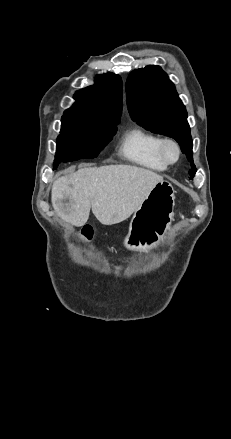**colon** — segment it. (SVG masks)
<instances>
[{
	"label": "colon",
	"instance_id": "obj_1",
	"mask_svg": "<svg viewBox=\"0 0 231 439\" xmlns=\"http://www.w3.org/2000/svg\"><path fill=\"white\" fill-rule=\"evenodd\" d=\"M81 236L84 240L90 241L93 236V231L91 227H84L81 231Z\"/></svg>",
	"mask_w": 231,
	"mask_h": 439
}]
</instances>
